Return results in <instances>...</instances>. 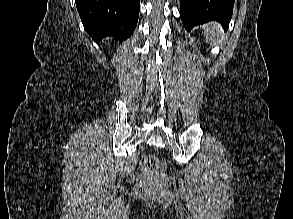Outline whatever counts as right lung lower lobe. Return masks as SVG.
Listing matches in <instances>:
<instances>
[{"label":"right lung lower lobe","mask_w":293,"mask_h":219,"mask_svg":"<svg viewBox=\"0 0 293 219\" xmlns=\"http://www.w3.org/2000/svg\"><path fill=\"white\" fill-rule=\"evenodd\" d=\"M84 29L95 41L106 36L118 40L134 32L140 0H75Z\"/></svg>","instance_id":"1"}]
</instances>
